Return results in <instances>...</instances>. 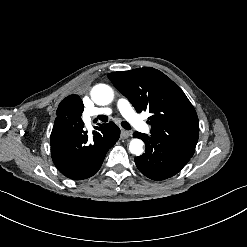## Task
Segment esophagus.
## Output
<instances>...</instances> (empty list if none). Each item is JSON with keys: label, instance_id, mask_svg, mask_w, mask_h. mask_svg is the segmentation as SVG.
Instances as JSON below:
<instances>
[{"label": "esophagus", "instance_id": "obj_1", "mask_svg": "<svg viewBox=\"0 0 247 247\" xmlns=\"http://www.w3.org/2000/svg\"><path fill=\"white\" fill-rule=\"evenodd\" d=\"M130 132L129 131H126V130H122L121 131V139H127L129 136H130Z\"/></svg>", "mask_w": 247, "mask_h": 247}]
</instances>
